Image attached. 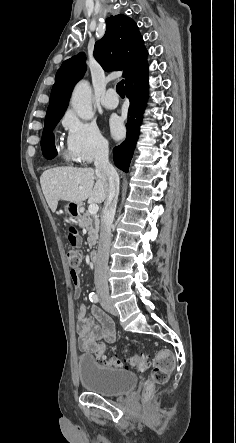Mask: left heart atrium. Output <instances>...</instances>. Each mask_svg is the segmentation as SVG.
<instances>
[{
	"instance_id": "obj_1",
	"label": "left heart atrium",
	"mask_w": 236,
	"mask_h": 443,
	"mask_svg": "<svg viewBox=\"0 0 236 443\" xmlns=\"http://www.w3.org/2000/svg\"><path fill=\"white\" fill-rule=\"evenodd\" d=\"M110 133L114 138H119L124 132V127L121 119L117 116H111L108 120Z\"/></svg>"
}]
</instances>
